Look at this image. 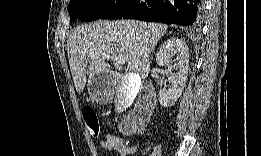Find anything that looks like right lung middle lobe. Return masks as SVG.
<instances>
[{"instance_id":"dd1d6c3e","label":"right lung middle lobe","mask_w":261,"mask_h":156,"mask_svg":"<svg viewBox=\"0 0 261 156\" xmlns=\"http://www.w3.org/2000/svg\"><path fill=\"white\" fill-rule=\"evenodd\" d=\"M118 0H71L68 5L70 20L92 21L101 18Z\"/></svg>"}]
</instances>
